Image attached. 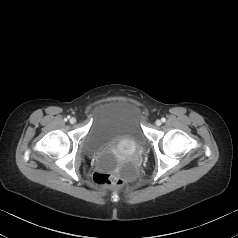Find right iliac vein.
Here are the masks:
<instances>
[{
    "mask_svg": "<svg viewBox=\"0 0 238 238\" xmlns=\"http://www.w3.org/2000/svg\"><path fill=\"white\" fill-rule=\"evenodd\" d=\"M70 123H71V124L76 123V118L72 117V118L70 119Z\"/></svg>",
    "mask_w": 238,
    "mask_h": 238,
    "instance_id": "right-iliac-vein-1",
    "label": "right iliac vein"
}]
</instances>
